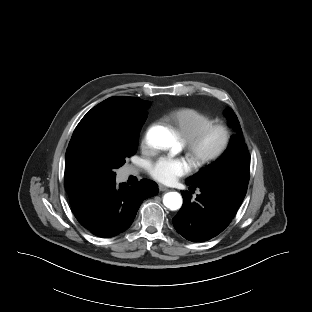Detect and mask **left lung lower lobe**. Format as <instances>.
Masks as SVG:
<instances>
[{"label": "left lung lower lobe", "mask_w": 312, "mask_h": 312, "mask_svg": "<svg viewBox=\"0 0 312 312\" xmlns=\"http://www.w3.org/2000/svg\"><path fill=\"white\" fill-rule=\"evenodd\" d=\"M192 186L199 187L201 194L193 202L189 193L182 192L183 206L172 222L176 231L187 240L204 242L217 236L230 224L241 203L221 188Z\"/></svg>", "instance_id": "obj_1"}]
</instances>
